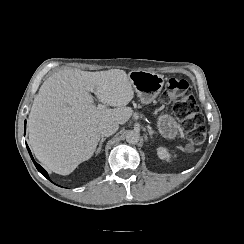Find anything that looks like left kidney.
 Instances as JSON below:
<instances>
[{
	"mask_svg": "<svg viewBox=\"0 0 244 244\" xmlns=\"http://www.w3.org/2000/svg\"><path fill=\"white\" fill-rule=\"evenodd\" d=\"M157 155L160 159L169 161L171 158L170 153L165 147H158L157 148Z\"/></svg>",
	"mask_w": 244,
	"mask_h": 244,
	"instance_id": "5707ae66",
	"label": "left kidney"
}]
</instances>
